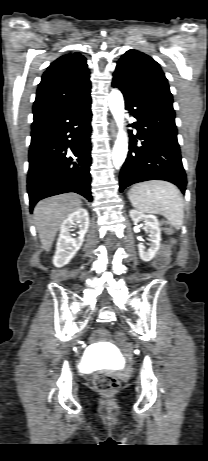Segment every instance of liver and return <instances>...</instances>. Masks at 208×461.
Returning <instances> with one entry per match:
<instances>
[{
	"instance_id": "liver-1",
	"label": "liver",
	"mask_w": 208,
	"mask_h": 461,
	"mask_svg": "<svg viewBox=\"0 0 208 461\" xmlns=\"http://www.w3.org/2000/svg\"><path fill=\"white\" fill-rule=\"evenodd\" d=\"M82 202L75 194H62L41 200L34 208V220L43 249L49 252L61 223L80 209Z\"/></svg>"
}]
</instances>
